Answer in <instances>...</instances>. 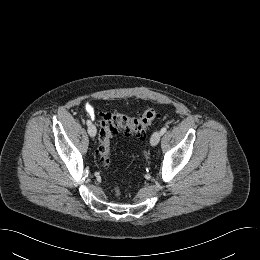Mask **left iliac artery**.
Wrapping results in <instances>:
<instances>
[{
	"label": "left iliac artery",
	"mask_w": 260,
	"mask_h": 260,
	"mask_svg": "<svg viewBox=\"0 0 260 260\" xmlns=\"http://www.w3.org/2000/svg\"><path fill=\"white\" fill-rule=\"evenodd\" d=\"M167 131V127H163L162 129H161V135H163L165 132Z\"/></svg>",
	"instance_id": "left-iliac-artery-1"
}]
</instances>
